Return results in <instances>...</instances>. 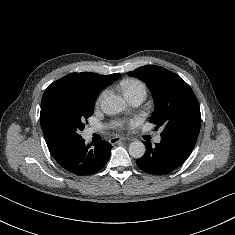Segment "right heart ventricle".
<instances>
[{"mask_svg": "<svg viewBox=\"0 0 235 235\" xmlns=\"http://www.w3.org/2000/svg\"><path fill=\"white\" fill-rule=\"evenodd\" d=\"M122 88H123L125 95L135 90H145L143 83L138 80L125 81L122 84Z\"/></svg>", "mask_w": 235, "mask_h": 235, "instance_id": "e07e8e85", "label": "right heart ventricle"}]
</instances>
